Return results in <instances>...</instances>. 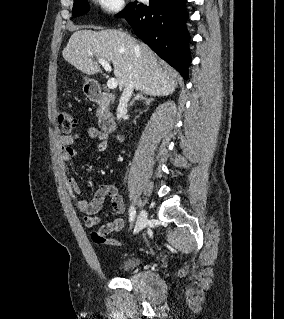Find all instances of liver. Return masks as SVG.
I'll list each match as a JSON object with an SVG mask.
<instances>
[{
    "label": "liver",
    "instance_id": "obj_1",
    "mask_svg": "<svg viewBox=\"0 0 284 319\" xmlns=\"http://www.w3.org/2000/svg\"><path fill=\"white\" fill-rule=\"evenodd\" d=\"M62 56L88 75L101 71L95 58L111 62L120 89L131 80L137 90L150 96H167L176 88L174 71L159 62L146 44L119 30L75 31Z\"/></svg>",
    "mask_w": 284,
    "mask_h": 319
}]
</instances>
